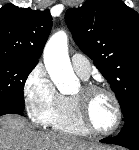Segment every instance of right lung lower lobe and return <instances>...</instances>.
<instances>
[{
  "mask_svg": "<svg viewBox=\"0 0 139 150\" xmlns=\"http://www.w3.org/2000/svg\"><path fill=\"white\" fill-rule=\"evenodd\" d=\"M5 114H19L23 115V110L10 104H0V116Z\"/></svg>",
  "mask_w": 139,
  "mask_h": 150,
  "instance_id": "right-lung-lower-lobe-1",
  "label": "right lung lower lobe"
}]
</instances>
